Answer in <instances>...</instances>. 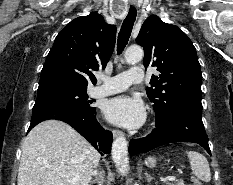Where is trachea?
Here are the masks:
<instances>
[{
	"label": "trachea",
	"instance_id": "3493384b",
	"mask_svg": "<svg viewBox=\"0 0 233 185\" xmlns=\"http://www.w3.org/2000/svg\"><path fill=\"white\" fill-rule=\"evenodd\" d=\"M136 16H137L136 9L134 7H130L128 15L124 19L123 24L121 26V30L118 35V42H117L118 54H121L125 46L127 45L134 22L136 20Z\"/></svg>",
	"mask_w": 233,
	"mask_h": 185
}]
</instances>
